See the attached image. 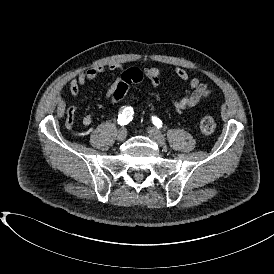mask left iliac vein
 <instances>
[{
    "mask_svg": "<svg viewBox=\"0 0 274 274\" xmlns=\"http://www.w3.org/2000/svg\"><path fill=\"white\" fill-rule=\"evenodd\" d=\"M149 137L159 146H166V140L163 134L155 127L148 128Z\"/></svg>",
    "mask_w": 274,
    "mask_h": 274,
    "instance_id": "1",
    "label": "left iliac vein"
}]
</instances>
